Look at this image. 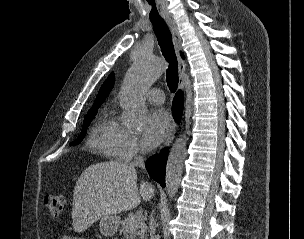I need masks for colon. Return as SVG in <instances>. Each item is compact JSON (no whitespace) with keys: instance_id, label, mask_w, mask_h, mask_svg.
<instances>
[{"instance_id":"1","label":"colon","mask_w":304,"mask_h":239,"mask_svg":"<svg viewBox=\"0 0 304 239\" xmlns=\"http://www.w3.org/2000/svg\"><path fill=\"white\" fill-rule=\"evenodd\" d=\"M44 204L54 217L60 216L67 207V198L62 194H51L44 198Z\"/></svg>"}]
</instances>
